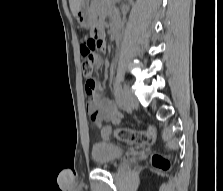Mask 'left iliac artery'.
I'll return each instance as SVG.
<instances>
[{
  "label": "left iliac artery",
  "mask_w": 223,
  "mask_h": 191,
  "mask_svg": "<svg viewBox=\"0 0 223 191\" xmlns=\"http://www.w3.org/2000/svg\"><path fill=\"white\" fill-rule=\"evenodd\" d=\"M115 91H116V98L119 103H121V95H122V88L118 81L115 82Z\"/></svg>",
  "instance_id": "left-iliac-artery-1"
}]
</instances>
